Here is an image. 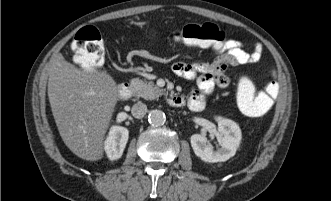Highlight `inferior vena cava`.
Here are the masks:
<instances>
[{
  "label": "inferior vena cava",
  "instance_id": "inferior-vena-cava-1",
  "mask_svg": "<svg viewBox=\"0 0 331 201\" xmlns=\"http://www.w3.org/2000/svg\"><path fill=\"white\" fill-rule=\"evenodd\" d=\"M131 113L135 118H143L147 113V106L139 101L132 106Z\"/></svg>",
  "mask_w": 331,
  "mask_h": 201
}]
</instances>
